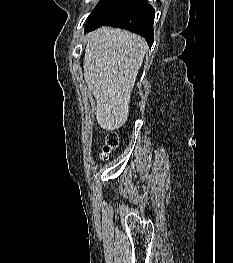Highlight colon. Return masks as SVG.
Segmentation results:
<instances>
[{"label":"colon","instance_id":"obj_1","mask_svg":"<svg viewBox=\"0 0 233 263\" xmlns=\"http://www.w3.org/2000/svg\"><path fill=\"white\" fill-rule=\"evenodd\" d=\"M120 138L117 133L110 132L107 134L105 144L102 148L101 157L108 159L110 154L119 146Z\"/></svg>","mask_w":233,"mask_h":263}]
</instances>
